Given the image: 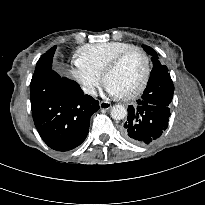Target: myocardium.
I'll list each match as a JSON object with an SVG mask.
<instances>
[{
	"mask_svg": "<svg viewBox=\"0 0 205 205\" xmlns=\"http://www.w3.org/2000/svg\"><path fill=\"white\" fill-rule=\"evenodd\" d=\"M133 52H137L143 57L144 64H145L144 73H143V76H142L140 83L138 84V86L134 90H132L128 94L119 96L120 99H123V100H130V99L137 97L140 93H142V91L145 89L146 85L148 84L150 74H151V61H150V57L148 56V54L143 49H141L139 47H130V48L120 52L119 54H117L107 64V66L104 68L102 75H101L102 82L105 84L107 76L120 65V63L122 62V60L126 56H128L129 54H131Z\"/></svg>",
	"mask_w": 205,
	"mask_h": 205,
	"instance_id": "1",
	"label": "myocardium"
}]
</instances>
